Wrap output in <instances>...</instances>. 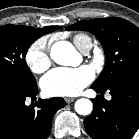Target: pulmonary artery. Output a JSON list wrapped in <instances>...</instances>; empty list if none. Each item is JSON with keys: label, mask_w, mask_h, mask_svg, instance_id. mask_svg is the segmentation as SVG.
Instances as JSON below:
<instances>
[{"label": "pulmonary artery", "mask_w": 139, "mask_h": 139, "mask_svg": "<svg viewBox=\"0 0 139 139\" xmlns=\"http://www.w3.org/2000/svg\"><path fill=\"white\" fill-rule=\"evenodd\" d=\"M92 47H93L92 41H86L85 44L83 45L81 51H82L84 54H87V53H89V51L92 49Z\"/></svg>", "instance_id": "1"}]
</instances>
